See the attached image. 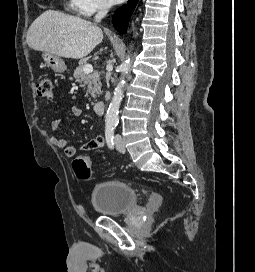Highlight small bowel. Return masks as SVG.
Segmentation results:
<instances>
[{
    "mask_svg": "<svg viewBox=\"0 0 255 272\" xmlns=\"http://www.w3.org/2000/svg\"><path fill=\"white\" fill-rule=\"evenodd\" d=\"M71 111L75 117H80L82 116V113H83L82 110L76 106H73ZM61 123H62V118L54 119L50 124L51 130L53 132H56L59 129ZM50 141L55 147L62 149L64 151V154L67 157H74L77 153V148L75 146L69 145L65 139L59 136H55V135L51 136ZM104 144H105L104 138L102 136H96L90 139L89 141L85 142L84 144H82L81 149L84 151H94L99 148H102Z\"/></svg>",
    "mask_w": 255,
    "mask_h": 272,
    "instance_id": "1",
    "label": "small bowel"
}]
</instances>
